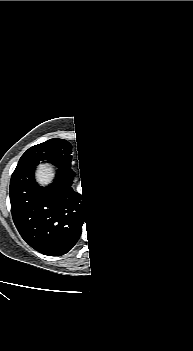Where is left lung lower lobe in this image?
Masks as SVG:
<instances>
[{
    "instance_id": "obj_1",
    "label": "left lung lower lobe",
    "mask_w": 193,
    "mask_h": 351,
    "mask_svg": "<svg viewBox=\"0 0 193 351\" xmlns=\"http://www.w3.org/2000/svg\"><path fill=\"white\" fill-rule=\"evenodd\" d=\"M186 188V176L173 172L131 191L112 190L106 203L111 216L104 222L109 245L130 258L156 253L178 226Z\"/></svg>"
}]
</instances>
